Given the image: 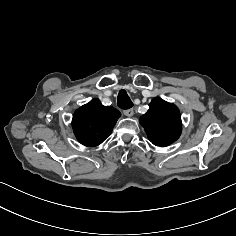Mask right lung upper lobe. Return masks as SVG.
Masks as SVG:
<instances>
[{"instance_id": "obj_1", "label": "right lung upper lobe", "mask_w": 236, "mask_h": 236, "mask_svg": "<svg viewBox=\"0 0 236 236\" xmlns=\"http://www.w3.org/2000/svg\"><path fill=\"white\" fill-rule=\"evenodd\" d=\"M120 115L114 107L103 106L99 99H93L75 111L74 134L81 144L98 146L109 137Z\"/></svg>"}]
</instances>
